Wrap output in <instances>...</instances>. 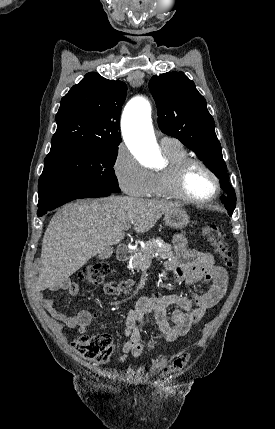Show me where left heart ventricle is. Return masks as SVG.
I'll use <instances>...</instances> for the list:
<instances>
[{
    "instance_id": "obj_1",
    "label": "left heart ventricle",
    "mask_w": 275,
    "mask_h": 429,
    "mask_svg": "<svg viewBox=\"0 0 275 429\" xmlns=\"http://www.w3.org/2000/svg\"><path fill=\"white\" fill-rule=\"evenodd\" d=\"M184 188L192 198L204 200L211 197L215 191L212 177L200 166H193L187 173Z\"/></svg>"
}]
</instances>
